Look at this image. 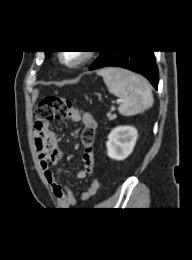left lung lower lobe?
Listing matches in <instances>:
<instances>
[{
  "mask_svg": "<svg viewBox=\"0 0 192 260\" xmlns=\"http://www.w3.org/2000/svg\"><path fill=\"white\" fill-rule=\"evenodd\" d=\"M154 51L132 50V51H101L90 70L103 67H122L145 76L154 88H158V69L155 63Z\"/></svg>",
  "mask_w": 192,
  "mask_h": 260,
  "instance_id": "obj_1",
  "label": "left lung lower lobe"
}]
</instances>
